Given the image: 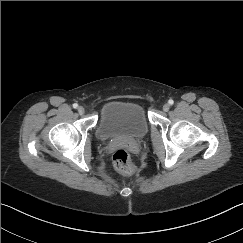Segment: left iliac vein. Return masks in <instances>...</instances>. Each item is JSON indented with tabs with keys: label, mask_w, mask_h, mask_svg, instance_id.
Instances as JSON below:
<instances>
[{
	"label": "left iliac vein",
	"mask_w": 243,
	"mask_h": 243,
	"mask_svg": "<svg viewBox=\"0 0 243 243\" xmlns=\"http://www.w3.org/2000/svg\"><path fill=\"white\" fill-rule=\"evenodd\" d=\"M169 109H170V105L169 104L166 103V104L163 105V110L165 112H167Z\"/></svg>",
	"instance_id": "left-iliac-vein-1"
}]
</instances>
